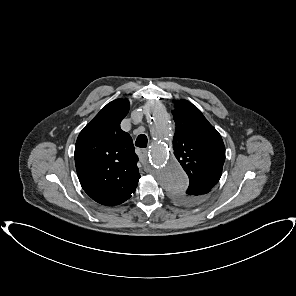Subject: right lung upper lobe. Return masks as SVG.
<instances>
[{
  "mask_svg": "<svg viewBox=\"0 0 296 296\" xmlns=\"http://www.w3.org/2000/svg\"><path fill=\"white\" fill-rule=\"evenodd\" d=\"M129 107L127 99L108 103L76 141L74 158L81 186L102 205L125 202L140 178L132 138L120 128Z\"/></svg>",
  "mask_w": 296,
  "mask_h": 296,
  "instance_id": "1",
  "label": "right lung upper lobe"
}]
</instances>
